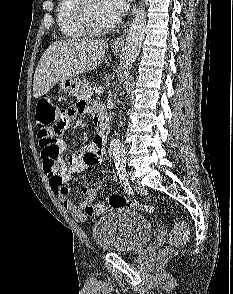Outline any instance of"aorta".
Listing matches in <instances>:
<instances>
[{
    "instance_id": "762f6f07",
    "label": "aorta",
    "mask_w": 233,
    "mask_h": 294,
    "mask_svg": "<svg viewBox=\"0 0 233 294\" xmlns=\"http://www.w3.org/2000/svg\"><path fill=\"white\" fill-rule=\"evenodd\" d=\"M145 7L143 2L139 3V7L136 11L135 17L132 20L124 47V65H123V77L129 75V71L132 65L136 61V58L142 47V43L145 38V30L147 23ZM110 150L112 152L114 162L116 166H124L126 163V154L123 144L118 139H112L110 142Z\"/></svg>"
}]
</instances>
